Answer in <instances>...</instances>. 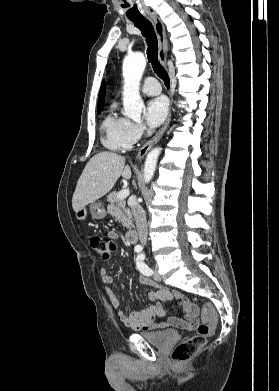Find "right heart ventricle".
I'll return each mask as SVG.
<instances>
[{
  "instance_id": "obj_1",
  "label": "right heart ventricle",
  "mask_w": 279,
  "mask_h": 391,
  "mask_svg": "<svg viewBox=\"0 0 279 391\" xmlns=\"http://www.w3.org/2000/svg\"><path fill=\"white\" fill-rule=\"evenodd\" d=\"M129 121L118 115L116 106L112 105L102 122V141L106 148L120 151L131 148L132 143L127 138V126Z\"/></svg>"
}]
</instances>
